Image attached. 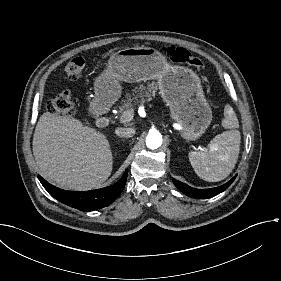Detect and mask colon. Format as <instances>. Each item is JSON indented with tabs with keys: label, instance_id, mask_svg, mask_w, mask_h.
Masks as SVG:
<instances>
[{
	"label": "colon",
	"instance_id": "1",
	"mask_svg": "<svg viewBox=\"0 0 281 281\" xmlns=\"http://www.w3.org/2000/svg\"><path fill=\"white\" fill-rule=\"evenodd\" d=\"M164 55L175 62L188 63L189 65L201 70L204 67L203 62L185 49L177 46L165 45L161 48ZM85 67V59L83 57H74L65 67V75L69 80L79 79ZM49 112L52 115H72L75 113L76 106L72 95L68 91L59 92L48 103Z\"/></svg>",
	"mask_w": 281,
	"mask_h": 281
}]
</instances>
